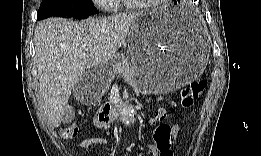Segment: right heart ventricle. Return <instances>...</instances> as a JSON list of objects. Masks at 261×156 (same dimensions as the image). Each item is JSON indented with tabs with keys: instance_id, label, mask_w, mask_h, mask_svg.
<instances>
[{
	"instance_id": "right-heart-ventricle-1",
	"label": "right heart ventricle",
	"mask_w": 261,
	"mask_h": 156,
	"mask_svg": "<svg viewBox=\"0 0 261 156\" xmlns=\"http://www.w3.org/2000/svg\"><path fill=\"white\" fill-rule=\"evenodd\" d=\"M115 4L117 5V4H119L118 2H115Z\"/></svg>"
}]
</instances>
